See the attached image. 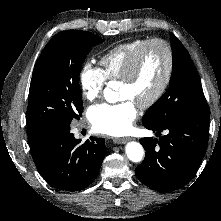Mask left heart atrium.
<instances>
[{"mask_svg": "<svg viewBox=\"0 0 221 221\" xmlns=\"http://www.w3.org/2000/svg\"><path fill=\"white\" fill-rule=\"evenodd\" d=\"M88 115L97 132L120 136L132 128L138 116V105L131 99H124L116 104L102 103L92 106Z\"/></svg>", "mask_w": 221, "mask_h": 221, "instance_id": "obj_1", "label": "left heart atrium"}]
</instances>
